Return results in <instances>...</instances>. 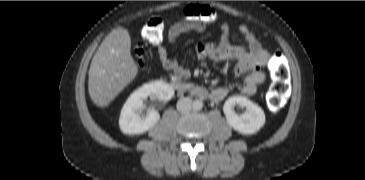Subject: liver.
Instances as JSON below:
<instances>
[{"mask_svg":"<svg viewBox=\"0 0 365 180\" xmlns=\"http://www.w3.org/2000/svg\"><path fill=\"white\" fill-rule=\"evenodd\" d=\"M138 74L131 55L128 30H112L95 53L90 69L88 91L99 107H107Z\"/></svg>","mask_w":365,"mask_h":180,"instance_id":"1","label":"liver"}]
</instances>
